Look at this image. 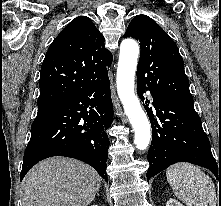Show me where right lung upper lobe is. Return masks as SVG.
I'll list each match as a JSON object with an SVG mask.
<instances>
[{
  "label": "right lung upper lobe",
  "instance_id": "cb5924a9",
  "mask_svg": "<svg viewBox=\"0 0 221 206\" xmlns=\"http://www.w3.org/2000/svg\"><path fill=\"white\" fill-rule=\"evenodd\" d=\"M112 54L85 16L72 20L50 45L41 67L38 108L70 98L108 75Z\"/></svg>",
  "mask_w": 221,
  "mask_h": 206
}]
</instances>
